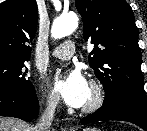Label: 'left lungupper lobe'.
I'll list each match as a JSON object with an SVG mask.
<instances>
[{
  "mask_svg": "<svg viewBox=\"0 0 147 131\" xmlns=\"http://www.w3.org/2000/svg\"><path fill=\"white\" fill-rule=\"evenodd\" d=\"M84 39L95 46L89 65L103 84V105L123 99L147 101L141 51L132 8L125 0H75Z\"/></svg>",
  "mask_w": 147,
  "mask_h": 131,
  "instance_id": "1",
  "label": "left lung upper lobe"
}]
</instances>
